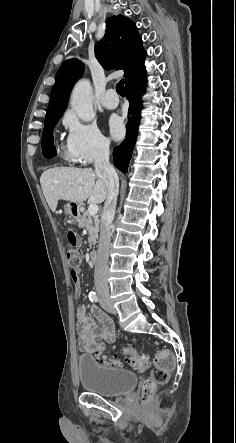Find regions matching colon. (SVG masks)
I'll use <instances>...</instances> for the list:
<instances>
[{
	"label": "colon",
	"instance_id": "colon-1",
	"mask_svg": "<svg viewBox=\"0 0 236 443\" xmlns=\"http://www.w3.org/2000/svg\"><path fill=\"white\" fill-rule=\"evenodd\" d=\"M67 239L71 244L78 242V233L74 226L69 225L66 228ZM68 264L71 268V277L73 282L78 279L77 271L81 263V253L78 249H69L66 253ZM123 354L129 357V365L138 370L145 371L149 362L146 356L138 355L134 349L130 346L123 348ZM93 355L101 363L113 366L122 367L123 364L117 357H109L105 352V345L103 343H97L92 350ZM174 366V357L169 351L159 352L153 360V368L150 372L148 379L143 384L142 398L143 401H148L153 394L156 386L165 384L168 381L170 371Z\"/></svg>",
	"mask_w": 236,
	"mask_h": 443
}]
</instances>
